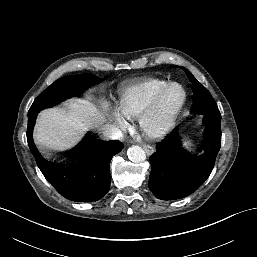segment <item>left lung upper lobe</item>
<instances>
[{"label": "left lung upper lobe", "mask_w": 257, "mask_h": 257, "mask_svg": "<svg viewBox=\"0 0 257 257\" xmlns=\"http://www.w3.org/2000/svg\"><path fill=\"white\" fill-rule=\"evenodd\" d=\"M181 68L185 71L189 80L192 82V91L194 96L191 111L204 115V121L207 120V118H212L213 116H221L217 104L208 90L199 83L187 69L183 67Z\"/></svg>", "instance_id": "5c2ea615"}]
</instances>
